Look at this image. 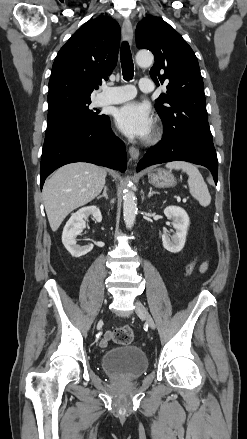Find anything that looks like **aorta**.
<instances>
[{
  "label": "aorta",
  "instance_id": "obj_1",
  "mask_svg": "<svg viewBox=\"0 0 247 439\" xmlns=\"http://www.w3.org/2000/svg\"><path fill=\"white\" fill-rule=\"evenodd\" d=\"M154 61V57L150 52H139L136 55V62L139 66H150ZM132 183L129 181L127 189L123 193V216L124 222L128 229H131L135 223L137 204L134 192L130 189Z\"/></svg>",
  "mask_w": 247,
  "mask_h": 439
}]
</instances>
